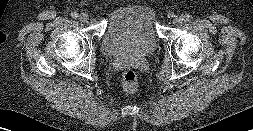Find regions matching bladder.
<instances>
[{
	"label": "bladder",
	"instance_id": "obj_1",
	"mask_svg": "<svg viewBox=\"0 0 253 131\" xmlns=\"http://www.w3.org/2000/svg\"><path fill=\"white\" fill-rule=\"evenodd\" d=\"M158 20V12L151 4L135 1L118 4L107 19L101 50L111 53L127 42L140 53H151L160 43Z\"/></svg>",
	"mask_w": 253,
	"mask_h": 131
}]
</instances>
